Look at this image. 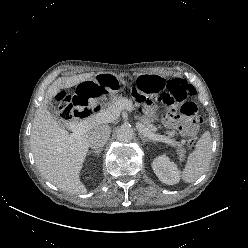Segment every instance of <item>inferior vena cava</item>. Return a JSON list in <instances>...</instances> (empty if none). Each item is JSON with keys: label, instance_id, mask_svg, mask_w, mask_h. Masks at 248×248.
Returning <instances> with one entry per match:
<instances>
[{"label": "inferior vena cava", "instance_id": "1", "mask_svg": "<svg viewBox=\"0 0 248 248\" xmlns=\"http://www.w3.org/2000/svg\"><path fill=\"white\" fill-rule=\"evenodd\" d=\"M110 133L111 129L108 125H98L88 138L89 146L93 149L102 148L107 143Z\"/></svg>", "mask_w": 248, "mask_h": 248}]
</instances>
